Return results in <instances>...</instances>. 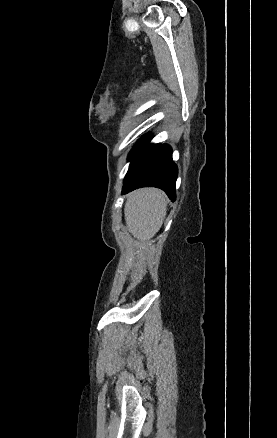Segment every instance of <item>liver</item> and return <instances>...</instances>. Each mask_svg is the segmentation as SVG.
<instances>
[{
	"mask_svg": "<svg viewBox=\"0 0 277 438\" xmlns=\"http://www.w3.org/2000/svg\"><path fill=\"white\" fill-rule=\"evenodd\" d=\"M167 200L162 190L143 188L131 192L124 208L126 226L137 240L148 242L159 232L166 216Z\"/></svg>",
	"mask_w": 277,
	"mask_h": 438,
	"instance_id": "1",
	"label": "liver"
}]
</instances>
